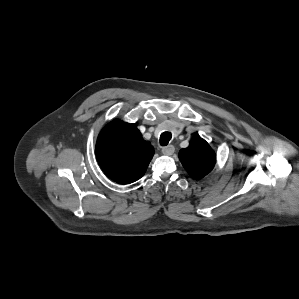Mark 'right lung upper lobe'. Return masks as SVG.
<instances>
[{"mask_svg":"<svg viewBox=\"0 0 299 299\" xmlns=\"http://www.w3.org/2000/svg\"><path fill=\"white\" fill-rule=\"evenodd\" d=\"M154 155L134 124L113 120L100 132L96 143L97 160L113 181L129 184L140 179Z\"/></svg>","mask_w":299,"mask_h":299,"instance_id":"1","label":"right lung upper lobe"}]
</instances>
